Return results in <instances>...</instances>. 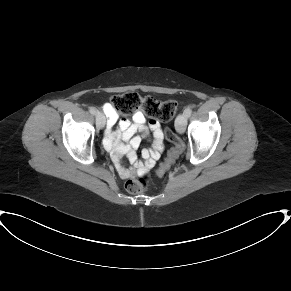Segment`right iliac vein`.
<instances>
[{"label":"right iliac vein","instance_id":"1","mask_svg":"<svg viewBox=\"0 0 291 291\" xmlns=\"http://www.w3.org/2000/svg\"><path fill=\"white\" fill-rule=\"evenodd\" d=\"M106 123V118L103 113L97 112L96 113V124L99 128H103Z\"/></svg>","mask_w":291,"mask_h":291}]
</instances>
